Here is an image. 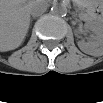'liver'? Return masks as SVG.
Wrapping results in <instances>:
<instances>
[{"mask_svg": "<svg viewBox=\"0 0 103 103\" xmlns=\"http://www.w3.org/2000/svg\"><path fill=\"white\" fill-rule=\"evenodd\" d=\"M31 3L24 0L1 2L0 48L14 50L23 42L30 25Z\"/></svg>", "mask_w": 103, "mask_h": 103, "instance_id": "liver-1", "label": "liver"}]
</instances>
